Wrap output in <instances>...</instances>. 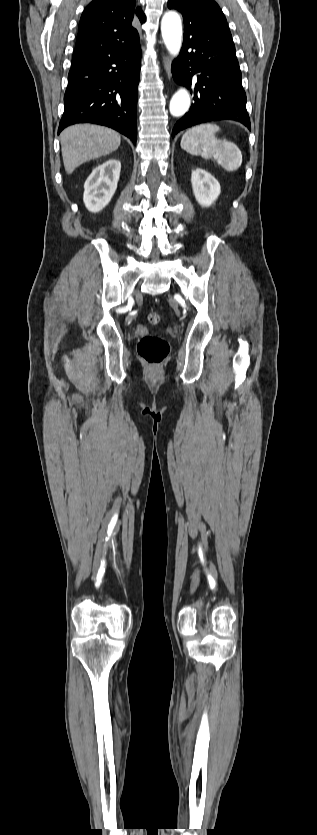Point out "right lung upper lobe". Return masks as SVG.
Listing matches in <instances>:
<instances>
[{
  "label": "right lung upper lobe",
  "mask_w": 317,
  "mask_h": 835,
  "mask_svg": "<svg viewBox=\"0 0 317 835\" xmlns=\"http://www.w3.org/2000/svg\"><path fill=\"white\" fill-rule=\"evenodd\" d=\"M145 21L136 0H94L84 10L75 50L113 49L139 37L136 25Z\"/></svg>",
  "instance_id": "cb5924a9"
}]
</instances>
